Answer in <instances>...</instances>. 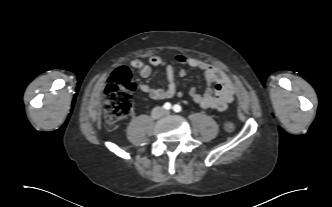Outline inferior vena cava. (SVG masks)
<instances>
[{
	"instance_id": "602c4592",
	"label": "inferior vena cava",
	"mask_w": 332,
	"mask_h": 207,
	"mask_svg": "<svg viewBox=\"0 0 332 207\" xmlns=\"http://www.w3.org/2000/svg\"><path fill=\"white\" fill-rule=\"evenodd\" d=\"M163 112H164V109L162 107H155L152 110V117L153 118H159L162 115Z\"/></svg>"
}]
</instances>
